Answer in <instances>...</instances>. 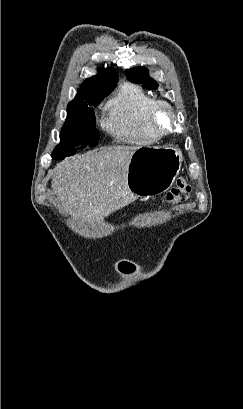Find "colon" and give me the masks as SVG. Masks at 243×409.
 Segmentation results:
<instances>
[{"label":"colon","instance_id":"1","mask_svg":"<svg viewBox=\"0 0 243 409\" xmlns=\"http://www.w3.org/2000/svg\"><path fill=\"white\" fill-rule=\"evenodd\" d=\"M190 193V186L188 182L180 178L176 181L175 185L167 192L165 196L166 202L170 204H176L187 199Z\"/></svg>","mask_w":243,"mask_h":409}]
</instances>
